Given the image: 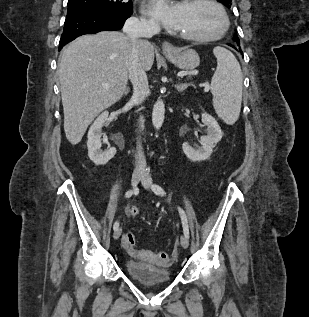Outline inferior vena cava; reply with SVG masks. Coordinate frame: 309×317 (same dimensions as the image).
<instances>
[{
	"label": "inferior vena cava",
	"mask_w": 309,
	"mask_h": 317,
	"mask_svg": "<svg viewBox=\"0 0 309 317\" xmlns=\"http://www.w3.org/2000/svg\"><path fill=\"white\" fill-rule=\"evenodd\" d=\"M123 31L127 34L128 38L134 44L131 55V63L129 67V78L133 85V95L131 101L139 105L149 95L148 80L145 69L143 68L138 45L141 37H152L159 32V26L153 22L140 21L135 17L126 20ZM139 127L144 129V118L140 116ZM146 170V161L140 140L137 141V152L135 155V171L144 172Z\"/></svg>",
	"instance_id": "1"
}]
</instances>
